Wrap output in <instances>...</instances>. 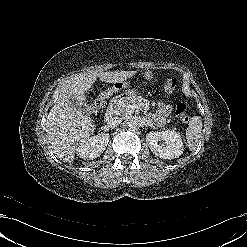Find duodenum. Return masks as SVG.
I'll return each mask as SVG.
<instances>
[{
  "mask_svg": "<svg viewBox=\"0 0 247 247\" xmlns=\"http://www.w3.org/2000/svg\"><path fill=\"white\" fill-rule=\"evenodd\" d=\"M115 104V103H114ZM113 114V109H108L107 110V117H110Z\"/></svg>",
  "mask_w": 247,
  "mask_h": 247,
  "instance_id": "obj_1",
  "label": "duodenum"
}]
</instances>
